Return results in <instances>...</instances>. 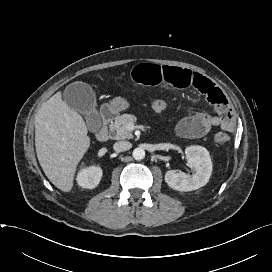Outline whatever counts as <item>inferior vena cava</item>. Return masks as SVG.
<instances>
[{"mask_svg":"<svg viewBox=\"0 0 272 272\" xmlns=\"http://www.w3.org/2000/svg\"><path fill=\"white\" fill-rule=\"evenodd\" d=\"M132 147V144L128 141H118L114 143L113 148L117 152L127 151Z\"/></svg>","mask_w":272,"mask_h":272,"instance_id":"1","label":"inferior vena cava"}]
</instances>
